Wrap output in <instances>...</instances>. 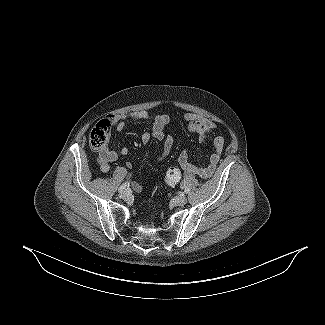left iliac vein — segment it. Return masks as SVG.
<instances>
[{
  "label": "left iliac vein",
  "instance_id": "4c4485c4",
  "mask_svg": "<svg viewBox=\"0 0 325 325\" xmlns=\"http://www.w3.org/2000/svg\"><path fill=\"white\" fill-rule=\"evenodd\" d=\"M173 202L175 205L183 206L186 204L187 198L185 196H177L173 199Z\"/></svg>",
  "mask_w": 325,
  "mask_h": 325
}]
</instances>
